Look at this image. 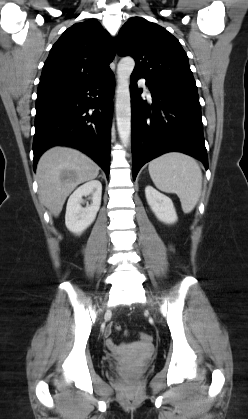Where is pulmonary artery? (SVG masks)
<instances>
[{
    "label": "pulmonary artery",
    "mask_w": 248,
    "mask_h": 419,
    "mask_svg": "<svg viewBox=\"0 0 248 419\" xmlns=\"http://www.w3.org/2000/svg\"><path fill=\"white\" fill-rule=\"evenodd\" d=\"M140 82H141V84L144 86V88L147 90V92H148V93H150V90H149V88H148V86H147L146 80L141 79V80H140Z\"/></svg>",
    "instance_id": "obj_1"
}]
</instances>
